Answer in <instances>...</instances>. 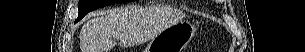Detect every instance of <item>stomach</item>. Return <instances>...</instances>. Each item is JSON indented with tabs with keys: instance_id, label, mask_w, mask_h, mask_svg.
<instances>
[{
	"instance_id": "obj_1",
	"label": "stomach",
	"mask_w": 305,
	"mask_h": 52,
	"mask_svg": "<svg viewBox=\"0 0 305 52\" xmlns=\"http://www.w3.org/2000/svg\"><path fill=\"white\" fill-rule=\"evenodd\" d=\"M194 34L195 27L190 22H177L152 38L144 52H183Z\"/></svg>"
}]
</instances>
